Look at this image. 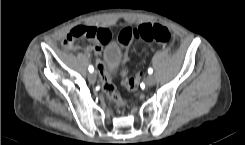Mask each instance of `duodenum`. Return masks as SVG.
Wrapping results in <instances>:
<instances>
[{"instance_id": "410a0bca", "label": "duodenum", "mask_w": 245, "mask_h": 145, "mask_svg": "<svg viewBox=\"0 0 245 145\" xmlns=\"http://www.w3.org/2000/svg\"><path fill=\"white\" fill-rule=\"evenodd\" d=\"M70 49L73 50V51H79L82 49V47L78 46V45H71L70 46Z\"/></svg>"}]
</instances>
